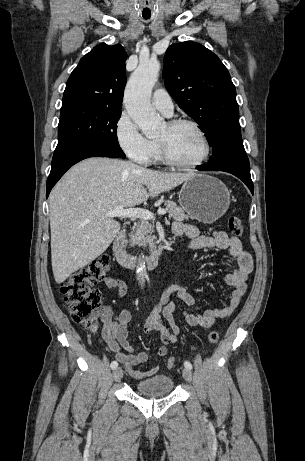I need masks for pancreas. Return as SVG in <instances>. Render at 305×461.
I'll use <instances>...</instances> for the list:
<instances>
[{"instance_id":"obj_1","label":"pancreas","mask_w":305,"mask_h":461,"mask_svg":"<svg viewBox=\"0 0 305 461\" xmlns=\"http://www.w3.org/2000/svg\"><path fill=\"white\" fill-rule=\"evenodd\" d=\"M164 205L168 210L169 217L176 221L182 222L188 220V215L173 201H165ZM153 234V226L147 220H141L132 228L130 235V245L146 246L147 244L153 250L156 248L155 236Z\"/></svg>"}]
</instances>
